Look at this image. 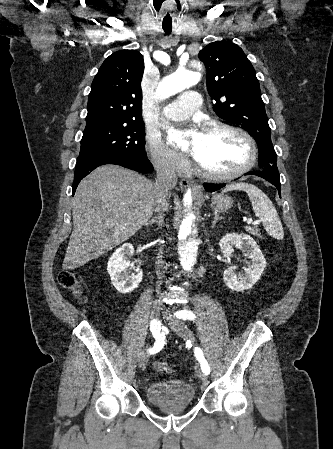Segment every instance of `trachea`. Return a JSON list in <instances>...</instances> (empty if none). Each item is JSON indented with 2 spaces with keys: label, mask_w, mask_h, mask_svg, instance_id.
<instances>
[{
  "label": "trachea",
  "mask_w": 333,
  "mask_h": 449,
  "mask_svg": "<svg viewBox=\"0 0 333 449\" xmlns=\"http://www.w3.org/2000/svg\"><path fill=\"white\" fill-rule=\"evenodd\" d=\"M163 30H164V32L167 34V35H169L170 33H171V31H172V27H163Z\"/></svg>",
  "instance_id": "obj_1"
}]
</instances>
